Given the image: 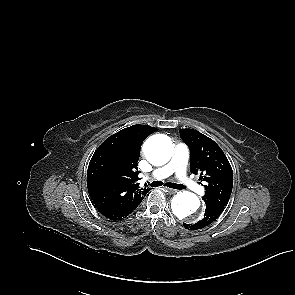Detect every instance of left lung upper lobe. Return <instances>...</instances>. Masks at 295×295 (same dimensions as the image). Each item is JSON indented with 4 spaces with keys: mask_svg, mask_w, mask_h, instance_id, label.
I'll return each mask as SVG.
<instances>
[{
    "mask_svg": "<svg viewBox=\"0 0 295 295\" xmlns=\"http://www.w3.org/2000/svg\"><path fill=\"white\" fill-rule=\"evenodd\" d=\"M191 155V171L205 181L203 200L209 205L225 207L233 188V171L222 149L215 141L193 129L180 130Z\"/></svg>",
    "mask_w": 295,
    "mask_h": 295,
    "instance_id": "1",
    "label": "left lung upper lobe"
}]
</instances>
